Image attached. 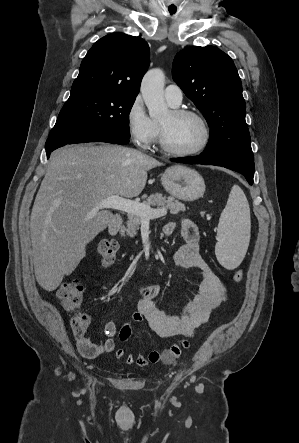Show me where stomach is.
Instances as JSON below:
<instances>
[{
    "instance_id": "0dacf381",
    "label": "stomach",
    "mask_w": 299,
    "mask_h": 443,
    "mask_svg": "<svg viewBox=\"0 0 299 443\" xmlns=\"http://www.w3.org/2000/svg\"><path fill=\"white\" fill-rule=\"evenodd\" d=\"M165 190L183 201H194L203 196L205 183L203 177L195 170L185 166H172L161 177Z\"/></svg>"
}]
</instances>
